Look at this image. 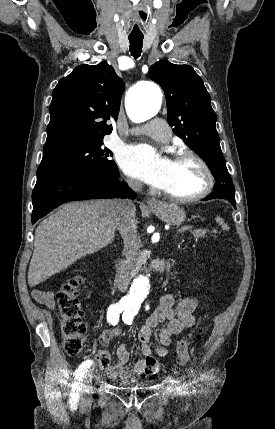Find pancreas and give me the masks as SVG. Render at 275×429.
<instances>
[{
    "mask_svg": "<svg viewBox=\"0 0 275 429\" xmlns=\"http://www.w3.org/2000/svg\"><path fill=\"white\" fill-rule=\"evenodd\" d=\"M206 233H207V230L199 229V230H195V231H193V233H192V234L194 235V237H195L196 239H198V238L205 237Z\"/></svg>",
    "mask_w": 275,
    "mask_h": 429,
    "instance_id": "cf45deb5",
    "label": "pancreas"
}]
</instances>
